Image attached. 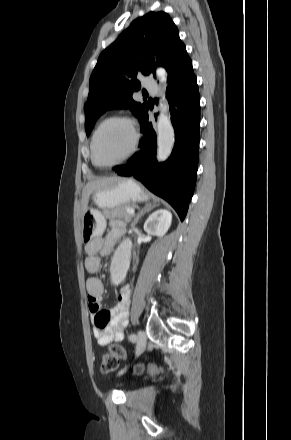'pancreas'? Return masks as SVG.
Listing matches in <instances>:
<instances>
[{"mask_svg": "<svg viewBox=\"0 0 291 440\" xmlns=\"http://www.w3.org/2000/svg\"><path fill=\"white\" fill-rule=\"evenodd\" d=\"M127 208V206H119L113 209H103V214L108 219L120 218L129 222L132 219V215L127 213Z\"/></svg>", "mask_w": 291, "mask_h": 440, "instance_id": "1", "label": "pancreas"}]
</instances>
